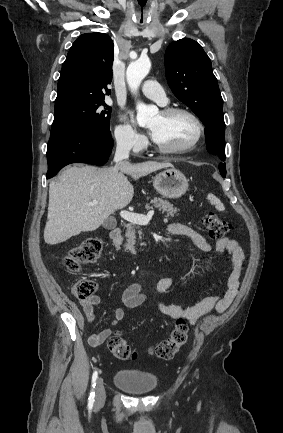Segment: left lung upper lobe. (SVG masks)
Masks as SVG:
<instances>
[{"label": "left lung upper lobe", "mask_w": 283, "mask_h": 433, "mask_svg": "<svg viewBox=\"0 0 283 433\" xmlns=\"http://www.w3.org/2000/svg\"><path fill=\"white\" fill-rule=\"evenodd\" d=\"M165 74L174 95L201 119L206 144L225 147L223 100L211 61L194 40L174 41L165 52Z\"/></svg>", "instance_id": "5c2ea615"}]
</instances>
